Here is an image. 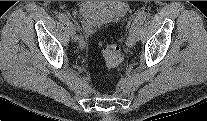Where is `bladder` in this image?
Masks as SVG:
<instances>
[{
	"mask_svg": "<svg viewBox=\"0 0 207 121\" xmlns=\"http://www.w3.org/2000/svg\"><path fill=\"white\" fill-rule=\"evenodd\" d=\"M127 10L123 1H83L79 6L82 20L92 29L120 21Z\"/></svg>",
	"mask_w": 207,
	"mask_h": 121,
	"instance_id": "1",
	"label": "bladder"
}]
</instances>
